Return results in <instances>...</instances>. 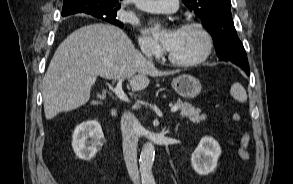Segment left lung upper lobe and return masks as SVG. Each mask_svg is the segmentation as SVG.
I'll use <instances>...</instances> for the list:
<instances>
[{
  "instance_id": "left-lung-upper-lobe-1",
  "label": "left lung upper lobe",
  "mask_w": 293,
  "mask_h": 184,
  "mask_svg": "<svg viewBox=\"0 0 293 184\" xmlns=\"http://www.w3.org/2000/svg\"><path fill=\"white\" fill-rule=\"evenodd\" d=\"M202 20L212 35L219 57L235 58L233 51H224L222 46L239 40L231 14L230 0H182Z\"/></svg>"
}]
</instances>
